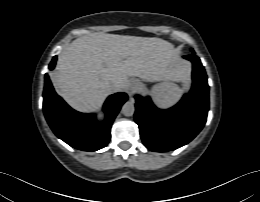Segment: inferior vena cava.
Wrapping results in <instances>:
<instances>
[{
  "instance_id": "inferior-vena-cava-1",
  "label": "inferior vena cava",
  "mask_w": 260,
  "mask_h": 202,
  "mask_svg": "<svg viewBox=\"0 0 260 202\" xmlns=\"http://www.w3.org/2000/svg\"><path fill=\"white\" fill-rule=\"evenodd\" d=\"M118 87H119V84H118L117 82H112V83H111V88H112L113 90L117 89Z\"/></svg>"
}]
</instances>
